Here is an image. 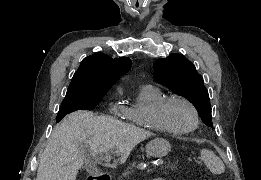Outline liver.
Instances as JSON below:
<instances>
[{"mask_svg": "<svg viewBox=\"0 0 261 180\" xmlns=\"http://www.w3.org/2000/svg\"><path fill=\"white\" fill-rule=\"evenodd\" d=\"M154 136L113 116L78 110L55 126L37 170L36 180H76L79 170L93 168L97 156L115 150L120 164L133 148Z\"/></svg>", "mask_w": 261, "mask_h": 180, "instance_id": "liver-1", "label": "liver"}]
</instances>
